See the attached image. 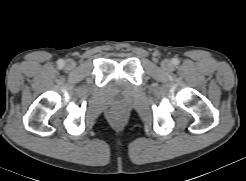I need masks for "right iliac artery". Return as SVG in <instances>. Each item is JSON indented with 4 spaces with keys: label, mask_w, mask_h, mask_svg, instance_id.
Wrapping results in <instances>:
<instances>
[{
    "label": "right iliac artery",
    "mask_w": 246,
    "mask_h": 181,
    "mask_svg": "<svg viewBox=\"0 0 246 181\" xmlns=\"http://www.w3.org/2000/svg\"><path fill=\"white\" fill-rule=\"evenodd\" d=\"M58 65H59L60 67L64 66V61H63V60H59V61H58Z\"/></svg>",
    "instance_id": "82829eb1"
}]
</instances>
